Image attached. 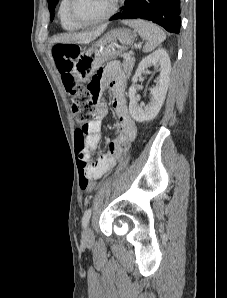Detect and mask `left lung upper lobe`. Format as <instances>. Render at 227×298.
I'll return each instance as SVG.
<instances>
[{
    "instance_id": "5c2ea615",
    "label": "left lung upper lobe",
    "mask_w": 227,
    "mask_h": 298,
    "mask_svg": "<svg viewBox=\"0 0 227 298\" xmlns=\"http://www.w3.org/2000/svg\"><path fill=\"white\" fill-rule=\"evenodd\" d=\"M59 0H48V5H49V11H50V19L53 20L54 17V9L56 7V4Z\"/></svg>"
}]
</instances>
